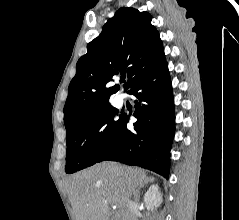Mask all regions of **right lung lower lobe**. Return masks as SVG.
<instances>
[{
	"label": "right lung lower lobe",
	"instance_id": "1",
	"mask_svg": "<svg viewBox=\"0 0 239 220\" xmlns=\"http://www.w3.org/2000/svg\"><path fill=\"white\" fill-rule=\"evenodd\" d=\"M135 96L134 130L121 123L97 162L120 161L152 170L166 178L169 175L170 149L175 134L174 99L166 60L138 78L127 91ZM96 162V163H97Z\"/></svg>",
	"mask_w": 239,
	"mask_h": 220
}]
</instances>
